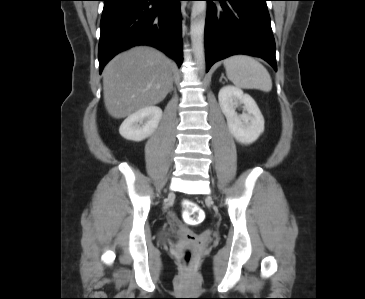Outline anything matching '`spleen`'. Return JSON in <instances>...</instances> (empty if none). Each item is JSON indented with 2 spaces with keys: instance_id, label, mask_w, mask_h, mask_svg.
I'll list each match as a JSON object with an SVG mask.
<instances>
[{
  "instance_id": "3e777b00",
  "label": "spleen",
  "mask_w": 365,
  "mask_h": 299,
  "mask_svg": "<svg viewBox=\"0 0 365 299\" xmlns=\"http://www.w3.org/2000/svg\"><path fill=\"white\" fill-rule=\"evenodd\" d=\"M228 79L238 88L269 92L272 80L267 69L253 57L234 55L224 61Z\"/></svg>"
}]
</instances>
